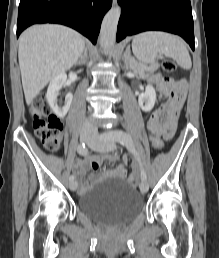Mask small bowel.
Returning <instances> with one entry per match:
<instances>
[{
  "label": "small bowel",
  "mask_w": 219,
  "mask_h": 258,
  "mask_svg": "<svg viewBox=\"0 0 219 258\" xmlns=\"http://www.w3.org/2000/svg\"><path fill=\"white\" fill-rule=\"evenodd\" d=\"M150 81L156 83L163 90V94H168L170 103L168 112H166V104H157L155 112H151V117H167V118H146V127L150 134H161V136L169 140L172 138L180 109L183 105L186 85L183 81H173L162 77L160 74H152ZM126 161V158H124ZM102 162H118L115 171H108L107 175H115V179H127V171H125V162H119V157L116 154L108 155H92L82 160H78L75 164V174L81 182V191L85 192L88 189L89 182L85 179V174L88 170H98Z\"/></svg>",
  "instance_id": "1"
}]
</instances>
